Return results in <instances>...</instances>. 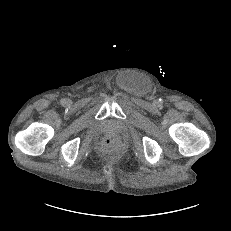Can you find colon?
<instances>
[{
	"label": "colon",
	"instance_id": "colon-1",
	"mask_svg": "<svg viewBox=\"0 0 231 231\" xmlns=\"http://www.w3.org/2000/svg\"><path fill=\"white\" fill-rule=\"evenodd\" d=\"M101 148L105 153L111 154L114 153L117 149V144L114 139L106 138L101 144Z\"/></svg>",
	"mask_w": 231,
	"mask_h": 231
}]
</instances>
